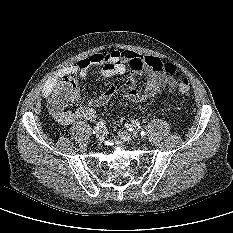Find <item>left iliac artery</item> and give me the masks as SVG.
I'll return each instance as SVG.
<instances>
[{
  "label": "left iliac artery",
  "instance_id": "44dca946",
  "mask_svg": "<svg viewBox=\"0 0 233 233\" xmlns=\"http://www.w3.org/2000/svg\"><path fill=\"white\" fill-rule=\"evenodd\" d=\"M132 124H133L134 127H137V129H139V130L141 129V132H140L141 137L145 138L146 134H145V131L142 130V128L140 126V123L137 120H132Z\"/></svg>",
  "mask_w": 233,
  "mask_h": 233
}]
</instances>
